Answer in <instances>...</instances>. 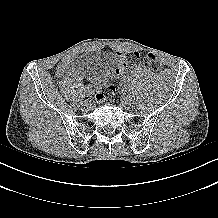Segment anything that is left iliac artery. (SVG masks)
<instances>
[{
    "instance_id": "obj_1",
    "label": "left iliac artery",
    "mask_w": 218,
    "mask_h": 218,
    "mask_svg": "<svg viewBox=\"0 0 218 218\" xmlns=\"http://www.w3.org/2000/svg\"><path fill=\"white\" fill-rule=\"evenodd\" d=\"M126 97H127L128 100H132V101L135 99L133 96H131L129 94Z\"/></svg>"
}]
</instances>
